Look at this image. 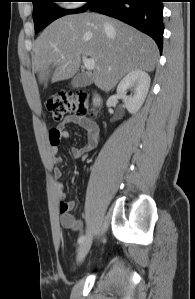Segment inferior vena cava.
<instances>
[{"instance_id":"obj_1","label":"inferior vena cava","mask_w":195,"mask_h":299,"mask_svg":"<svg viewBox=\"0 0 195 299\" xmlns=\"http://www.w3.org/2000/svg\"><path fill=\"white\" fill-rule=\"evenodd\" d=\"M105 27H109L108 24H105Z\"/></svg>"}]
</instances>
